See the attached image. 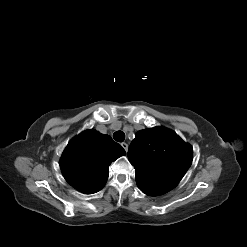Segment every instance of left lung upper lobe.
<instances>
[{
    "mask_svg": "<svg viewBox=\"0 0 247 247\" xmlns=\"http://www.w3.org/2000/svg\"><path fill=\"white\" fill-rule=\"evenodd\" d=\"M139 189L157 196L172 190L192 164V147L175 132L154 127L136 133L127 153Z\"/></svg>",
    "mask_w": 247,
    "mask_h": 247,
    "instance_id": "1",
    "label": "left lung upper lobe"
}]
</instances>
